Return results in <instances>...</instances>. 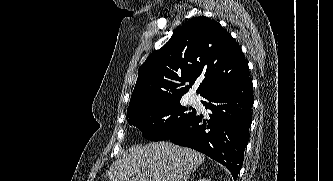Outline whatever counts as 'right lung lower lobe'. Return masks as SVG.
Instances as JSON below:
<instances>
[{
	"mask_svg": "<svg viewBox=\"0 0 333 181\" xmlns=\"http://www.w3.org/2000/svg\"><path fill=\"white\" fill-rule=\"evenodd\" d=\"M209 116L195 113L168 140L190 147L223 164L234 180L240 172L252 122L251 77L207 92Z\"/></svg>",
	"mask_w": 333,
	"mask_h": 181,
	"instance_id": "1",
	"label": "right lung lower lobe"
}]
</instances>
